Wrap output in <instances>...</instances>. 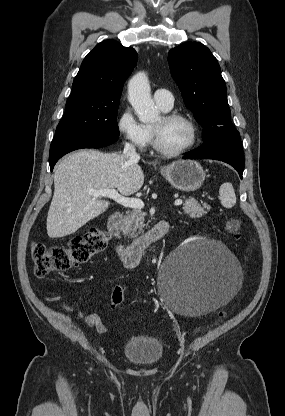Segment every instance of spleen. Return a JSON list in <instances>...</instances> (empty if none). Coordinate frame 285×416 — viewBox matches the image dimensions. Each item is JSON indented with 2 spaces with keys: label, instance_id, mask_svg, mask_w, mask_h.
Here are the masks:
<instances>
[{
  "label": "spleen",
  "instance_id": "spleen-1",
  "mask_svg": "<svg viewBox=\"0 0 285 416\" xmlns=\"http://www.w3.org/2000/svg\"><path fill=\"white\" fill-rule=\"evenodd\" d=\"M219 194L221 204L224 208H233V206H235L236 196L232 184H229V182L222 184V186H220Z\"/></svg>",
  "mask_w": 285,
  "mask_h": 416
}]
</instances>
